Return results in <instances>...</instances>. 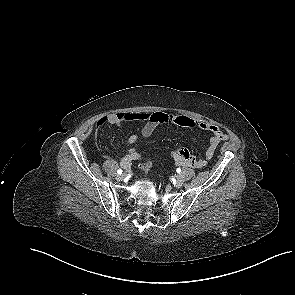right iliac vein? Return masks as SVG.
I'll return each mask as SVG.
<instances>
[{
	"mask_svg": "<svg viewBox=\"0 0 295 295\" xmlns=\"http://www.w3.org/2000/svg\"><path fill=\"white\" fill-rule=\"evenodd\" d=\"M124 177H125L124 174H119V175H117L116 179H117L118 181H121V180L124 179Z\"/></svg>",
	"mask_w": 295,
	"mask_h": 295,
	"instance_id": "right-iliac-vein-1",
	"label": "right iliac vein"
}]
</instances>
